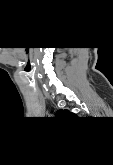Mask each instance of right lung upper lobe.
<instances>
[{
    "label": "right lung upper lobe",
    "mask_w": 113,
    "mask_h": 165,
    "mask_svg": "<svg viewBox=\"0 0 113 165\" xmlns=\"http://www.w3.org/2000/svg\"><path fill=\"white\" fill-rule=\"evenodd\" d=\"M57 114H68V115H72L68 110H59L58 112H57Z\"/></svg>",
    "instance_id": "obj_1"
}]
</instances>
